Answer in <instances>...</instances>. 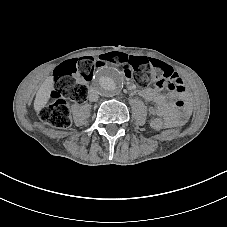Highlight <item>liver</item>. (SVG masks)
I'll list each match as a JSON object with an SVG mask.
<instances>
[{
  "instance_id": "6515ba94",
  "label": "liver",
  "mask_w": 227,
  "mask_h": 227,
  "mask_svg": "<svg viewBox=\"0 0 227 227\" xmlns=\"http://www.w3.org/2000/svg\"><path fill=\"white\" fill-rule=\"evenodd\" d=\"M53 89H54L53 77L49 76L45 79V81L42 83V85L40 86L36 93V97L34 100V110L36 111V113H39L42 110V108L45 107L50 98V92Z\"/></svg>"
}]
</instances>
